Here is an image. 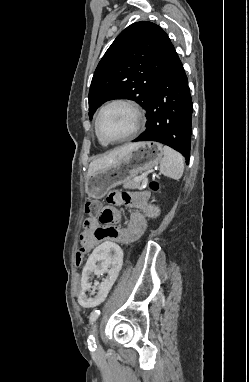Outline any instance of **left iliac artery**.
I'll use <instances>...</instances> for the list:
<instances>
[{
    "instance_id": "1",
    "label": "left iliac artery",
    "mask_w": 249,
    "mask_h": 382,
    "mask_svg": "<svg viewBox=\"0 0 249 382\" xmlns=\"http://www.w3.org/2000/svg\"><path fill=\"white\" fill-rule=\"evenodd\" d=\"M99 315H100L99 310L93 311L89 317L90 323L93 324V322L96 321V319L99 317ZM88 344H89L90 350H94V348H96L95 338L93 337V335H89Z\"/></svg>"
}]
</instances>
